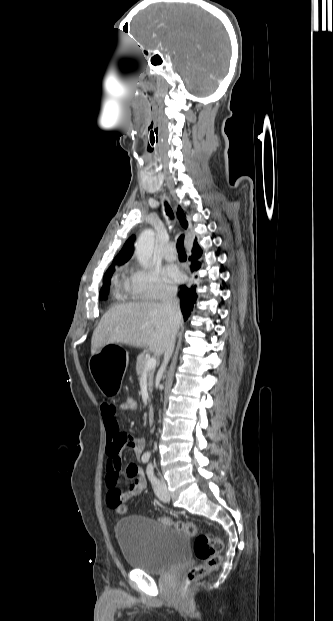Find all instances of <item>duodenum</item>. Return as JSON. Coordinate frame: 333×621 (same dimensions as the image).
<instances>
[{
	"label": "duodenum",
	"instance_id": "duodenum-1",
	"mask_svg": "<svg viewBox=\"0 0 333 621\" xmlns=\"http://www.w3.org/2000/svg\"><path fill=\"white\" fill-rule=\"evenodd\" d=\"M147 421H148V423H149L150 425H151V424H153V423H154V421H155V411H154V409H153L152 407L148 409V412H147Z\"/></svg>",
	"mask_w": 333,
	"mask_h": 621
}]
</instances>
